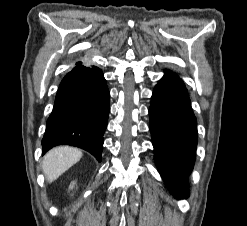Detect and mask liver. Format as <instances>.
<instances>
[{"label": "liver", "instance_id": "1", "mask_svg": "<svg viewBox=\"0 0 247 226\" xmlns=\"http://www.w3.org/2000/svg\"><path fill=\"white\" fill-rule=\"evenodd\" d=\"M82 157L81 150L59 146L51 149L43 159L42 170L48 182L55 181L60 175L77 163Z\"/></svg>", "mask_w": 247, "mask_h": 226}]
</instances>
